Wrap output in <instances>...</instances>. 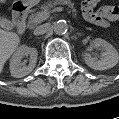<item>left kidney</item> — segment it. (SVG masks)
<instances>
[{
	"mask_svg": "<svg viewBox=\"0 0 119 119\" xmlns=\"http://www.w3.org/2000/svg\"><path fill=\"white\" fill-rule=\"evenodd\" d=\"M94 45L101 48V60L96 57H92L89 53H84L83 58L85 63L92 69L105 70L114 67L119 61V54L117 50L107 41L96 38Z\"/></svg>",
	"mask_w": 119,
	"mask_h": 119,
	"instance_id": "1",
	"label": "left kidney"
}]
</instances>
